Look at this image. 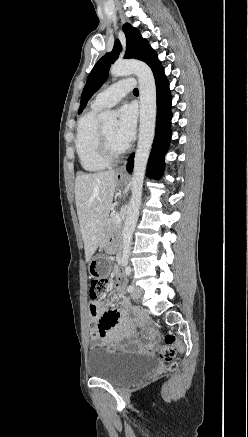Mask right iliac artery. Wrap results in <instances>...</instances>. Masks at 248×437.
<instances>
[{
    "label": "right iliac artery",
    "instance_id": "obj_1",
    "mask_svg": "<svg viewBox=\"0 0 248 437\" xmlns=\"http://www.w3.org/2000/svg\"><path fill=\"white\" fill-rule=\"evenodd\" d=\"M127 263H128V260H127V259H125V260L123 261V265H124V266H126V265H127Z\"/></svg>",
    "mask_w": 248,
    "mask_h": 437
}]
</instances>
